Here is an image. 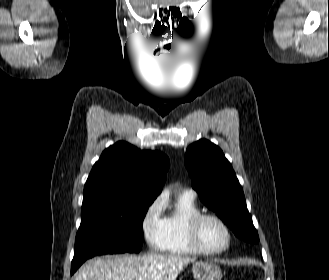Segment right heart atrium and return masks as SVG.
<instances>
[{
  "instance_id": "1",
  "label": "right heart atrium",
  "mask_w": 329,
  "mask_h": 280,
  "mask_svg": "<svg viewBox=\"0 0 329 280\" xmlns=\"http://www.w3.org/2000/svg\"><path fill=\"white\" fill-rule=\"evenodd\" d=\"M165 199L162 195L153 199L146 207L141 218L143 237L152 249H161L165 236L164 216Z\"/></svg>"
}]
</instances>
